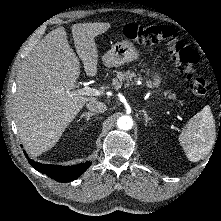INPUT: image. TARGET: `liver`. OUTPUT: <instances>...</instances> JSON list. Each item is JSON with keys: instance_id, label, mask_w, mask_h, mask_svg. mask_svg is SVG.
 Segmentation results:
<instances>
[{"instance_id": "obj_1", "label": "liver", "mask_w": 221, "mask_h": 221, "mask_svg": "<svg viewBox=\"0 0 221 221\" xmlns=\"http://www.w3.org/2000/svg\"><path fill=\"white\" fill-rule=\"evenodd\" d=\"M110 26V23L71 26L76 52L88 76L94 77L98 72L95 37ZM80 68L64 27L49 32L21 65L14 109L20 139L31 155L53 147L82 107L96 100L73 95Z\"/></svg>"}]
</instances>
